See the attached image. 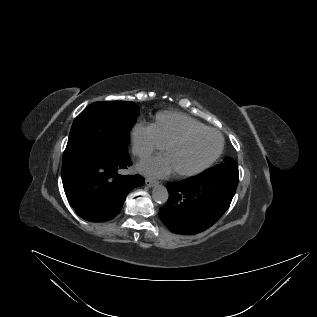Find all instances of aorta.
<instances>
[{
	"label": "aorta",
	"instance_id": "obj_1",
	"mask_svg": "<svg viewBox=\"0 0 317 317\" xmlns=\"http://www.w3.org/2000/svg\"><path fill=\"white\" fill-rule=\"evenodd\" d=\"M169 193L163 185H157L152 190V198L158 204H164L167 202Z\"/></svg>",
	"mask_w": 317,
	"mask_h": 317
}]
</instances>
